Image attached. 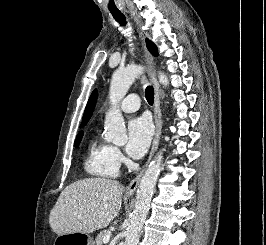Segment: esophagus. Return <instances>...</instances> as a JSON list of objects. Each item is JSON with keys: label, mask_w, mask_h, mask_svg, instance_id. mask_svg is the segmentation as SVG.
Segmentation results:
<instances>
[{"label": "esophagus", "mask_w": 266, "mask_h": 245, "mask_svg": "<svg viewBox=\"0 0 266 245\" xmlns=\"http://www.w3.org/2000/svg\"><path fill=\"white\" fill-rule=\"evenodd\" d=\"M142 37V34H140ZM145 58L148 63V66L150 67V80L153 84L154 91H155V98H154V122H155V136L153 139V143L151 146L150 154L148 157V161L144 165L143 169L137 173L136 177L129 183V185L125 189V193L127 195H133L139 185L140 179L144 173L145 168L147 167L148 163L150 162L151 158L153 157L155 151L157 150V147L159 145V140L161 136V130H162V117H161V108H160V90H159V84L155 75V72L152 70L153 67V58L149 54V52L144 48Z\"/></svg>", "instance_id": "obj_1"}]
</instances>
